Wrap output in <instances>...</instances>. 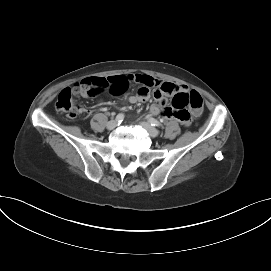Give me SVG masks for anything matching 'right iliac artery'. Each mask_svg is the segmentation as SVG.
I'll list each match as a JSON object with an SVG mask.
<instances>
[{
	"instance_id": "1",
	"label": "right iliac artery",
	"mask_w": 271,
	"mask_h": 271,
	"mask_svg": "<svg viewBox=\"0 0 271 271\" xmlns=\"http://www.w3.org/2000/svg\"><path fill=\"white\" fill-rule=\"evenodd\" d=\"M115 119L117 122L121 123L124 120V114L119 113Z\"/></svg>"
}]
</instances>
